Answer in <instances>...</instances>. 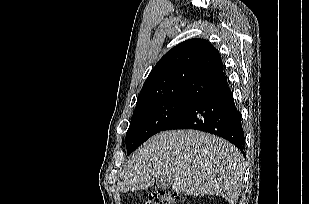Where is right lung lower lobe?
I'll return each mask as SVG.
<instances>
[{
    "instance_id": "98d812e1",
    "label": "right lung lower lobe",
    "mask_w": 309,
    "mask_h": 204,
    "mask_svg": "<svg viewBox=\"0 0 309 204\" xmlns=\"http://www.w3.org/2000/svg\"><path fill=\"white\" fill-rule=\"evenodd\" d=\"M172 129H195L220 136L234 144L245 156L241 113L235 106L229 87L197 102L163 130Z\"/></svg>"
}]
</instances>
